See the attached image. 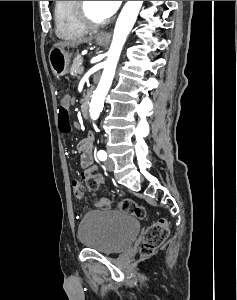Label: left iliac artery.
<instances>
[{
  "label": "left iliac artery",
  "mask_w": 237,
  "mask_h": 300,
  "mask_svg": "<svg viewBox=\"0 0 237 300\" xmlns=\"http://www.w3.org/2000/svg\"><path fill=\"white\" fill-rule=\"evenodd\" d=\"M97 157L101 161H105L107 159V153L104 150H100L97 152Z\"/></svg>",
  "instance_id": "1"
}]
</instances>
